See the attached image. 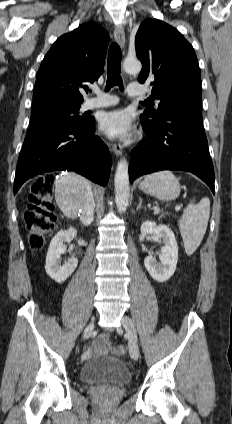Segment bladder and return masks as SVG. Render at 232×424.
Segmentation results:
<instances>
[{"label":"bladder","mask_w":232,"mask_h":424,"mask_svg":"<svg viewBox=\"0 0 232 424\" xmlns=\"http://www.w3.org/2000/svg\"><path fill=\"white\" fill-rule=\"evenodd\" d=\"M79 379L83 383L109 382L127 385L131 382V374L122 360L97 357L83 364Z\"/></svg>","instance_id":"obj_1"}]
</instances>
